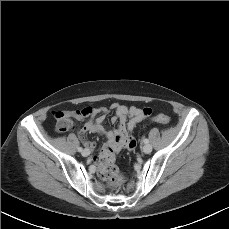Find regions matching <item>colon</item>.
<instances>
[{
	"mask_svg": "<svg viewBox=\"0 0 229 229\" xmlns=\"http://www.w3.org/2000/svg\"><path fill=\"white\" fill-rule=\"evenodd\" d=\"M143 115L145 117L150 116L151 109L148 107L142 108ZM84 116H89L88 112H84ZM75 116L72 112H61L58 114V125L57 130L59 132H65L73 128L74 123L73 119ZM153 120L158 123L167 124L170 122L169 116L165 114L156 115ZM116 153L113 152L110 148H106L102 151L100 155L101 169L100 176L108 182V184L114 188H120L125 181V177L119 171L118 167L115 164Z\"/></svg>",
	"mask_w": 229,
	"mask_h": 229,
	"instance_id": "colon-1",
	"label": "colon"
}]
</instances>
